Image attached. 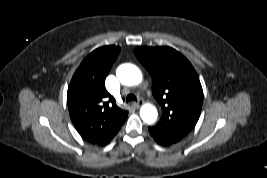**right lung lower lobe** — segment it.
<instances>
[{"label":"right lung lower lobe","instance_id":"obj_1","mask_svg":"<svg viewBox=\"0 0 267 178\" xmlns=\"http://www.w3.org/2000/svg\"><path fill=\"white\" fill-rule=\"evenodd\" d=\"M116 134H117V133H116ZM116 134H115V135H116ZM115 135H114V136H115ZM114 136H113V137H114ZM113 137H112L111 139H109L107 142H105V143H103L102 145H100V146H105V145H107V144L113 139Z\"/></svg>","mask_w":267,"mask_h":178}]
</instances>
